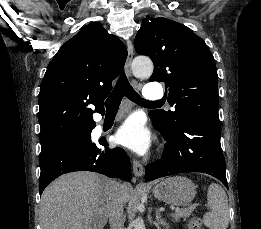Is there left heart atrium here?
Returning <instances> with one entry per match:
<instances>
[{
    "label": "left heart atrium",
    "instance_id": "left-heart-atrium-1",
    "mask_svg": "<svg viewBox=\"0 0 261 229\" xmlns=\"http://www.w3.org/2000/svg\"><path fill=\"white\" fill-rule=\"evenodd\" d=\"M114 140L119 145L143 154L151 145V132L141 118L132 116L118 128Z\"/></svg>",
    "mask_w": 261,
    "mask_h": 229
}]
</instances>
